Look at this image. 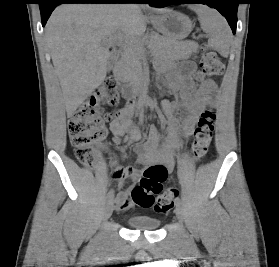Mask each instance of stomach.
<instances>
[{
    "mask_svg": "<svg viewBox=\"0 0 279 267\" xmlns=\"http://www.w3.org/2000/svg\"><path fill=\"white\" fill-rule=\"evenodd\" d=\"M153 26L166 38L180 41L192 30V22L188 16L178 11L166 9L151 18Z\"/></svg>",
    "mask_w": 279,
    "mask_h": 267,
    "instance_id": "obj_1",
    "label": "stomach"
}]
</instances>
